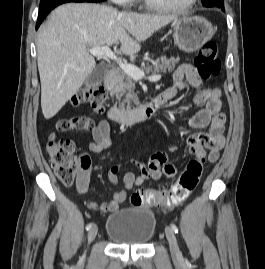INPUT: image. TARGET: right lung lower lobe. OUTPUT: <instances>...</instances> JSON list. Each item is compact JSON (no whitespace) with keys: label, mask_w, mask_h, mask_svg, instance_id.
Returning <instances> with one entry per match:
<instances>
[{"label":"right lung lower lobe","mask_w":265,"mask_h":269,"mask_svg":"<svg viewBox=\"0 0 265 269\" xmlns=\"http://www.w3.org/2000/svg\"><path fill=\"white\" fill-rule=\"evenodd\" d=\"M106 0H41L40 1V8H39V14H38V20L36 24V29L40 26L44 18L47 16V14L57 7L60 4L68 3V2H103Z\"/></svg>","instance_id":"1"}]
</instances>
